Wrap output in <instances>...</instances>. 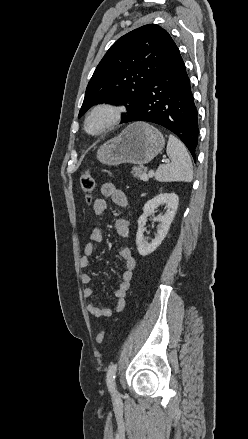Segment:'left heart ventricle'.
Listing matches in <instances>:
<instances>
[{"instance_id": "left-heart-ventricle-1", "label": "left heart ventricle", "mask_w": 248, "mask_h": 439, "mask_svg": "<svg viewBox=\"0 0 248 439\" xmlns=\"http://www.w3.org/2000/svg\"><path fill=\"white\" fill-rule=\"evenodd\" d=\"M105 116L104 115H97L94 118L91 119L89 123V129L91 131H96L102 127V125L105 123Z\"/></svg>"}]
</instances>
